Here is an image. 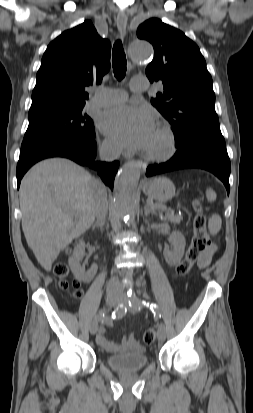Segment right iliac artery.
<instances>
[{"label": "right iliac artery", "instance_id": "right-iliac-artery-1", "mask_svg": "<svg viewBox=\"0 0 253 413\" xmlns=\"http://www.w3.org/2000/svg\"><path fill=\"white\" fill-rule=\"evenodd\" d=\"M127 312V309L124 305L120 304L119 306L116 307V309L112 312L111 318L106 316L105 311L99 312L95 316V320L99 321H111V319H117V318H122Z\"/></svg>", "mask_w": 253, "mask_h": 413}]
</instances>
